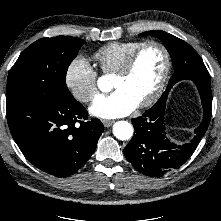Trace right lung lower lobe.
<instances>
[{
  "mask_svg": "<svg viewBox=\"0 0 221 221\" xmlns=\"http://www.w3.org/2000/svg\"><path fill=\"white\" fill-rule=\"evenodd\" d=\"M87 117L80 102L62 93L50 99L7 100L8 125L21 152L35 167L56 177L74 174L94 152L104 126L99 119L85 121Z\"/></svg>",
  "mask_w": 221,
  "mask_h": 221,
  "instance_id": "obj_1",
  "label": "right lung lower lobe"
}]
</instances>
